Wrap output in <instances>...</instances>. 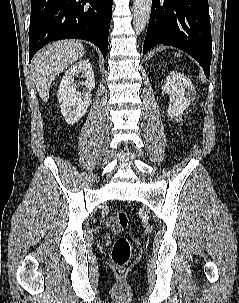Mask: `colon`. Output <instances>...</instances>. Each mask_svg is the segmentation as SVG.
Wrapping results in <instances>:
<instances>
[{
  "mask_svg": "<svg viewBox=\"0 0 239 303\" xmlns=\"http://www.w3.org/2000/svg\"><path fill=\"white\" fill-rule=\"evenodd\" d=\"M117 228L124 229L129 224L128 214L123 210H118L115 214ZM131 258V245L126 237H119L116 239L112 251L111 259L117 268H124L127 266Z\"/></svg>",
  "mask_w": 239,
  "mask_h": 303,
  "instance_id": "5ec220e1",
  "label": "colon"
}]
</instances>
